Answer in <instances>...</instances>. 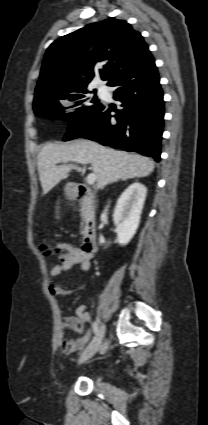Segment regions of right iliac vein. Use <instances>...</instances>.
<instances>
[{"mask_svg": "<svg viewBox=\"0 0 208 425\" xmlns=\"http://www.w3.org/2000/svg\"><path fill=\"white\" fill-rule=\"evenodd\" d=\"M104 333H105V326L102 325L100 327V329L98 330L96 336L92 340V342L88 345V347L82 353V355L79 359V363H83V362L89 360L92 356H94V354L101 347V344H102V341H103V338H104Z\"/></svg>", "mask_w": 208, "mask_h": 425, "instance_id": "right-iliac-vein-1", "label": "right iliac vein"}]
</instances>
